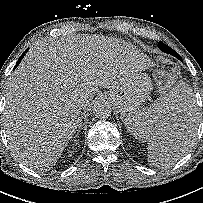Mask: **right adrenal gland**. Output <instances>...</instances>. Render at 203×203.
Listing matches in <instances>:
<instances>
[{
    "instance_id": "1",
    "label": "right adrenal gland",
    "mask_w": 203,
    "mask_h": 203,
    "mask_svg": "<svg viewBox=\"0 0 203 203\" xmlns=\"http://www.w3.org/2000/svg\"><path fill=\"white\" fill-rule=\"evenodd\" d=\"M80 127H81V124H79V130L78 131H80Z\"/></svg>"
}]
</instances>
